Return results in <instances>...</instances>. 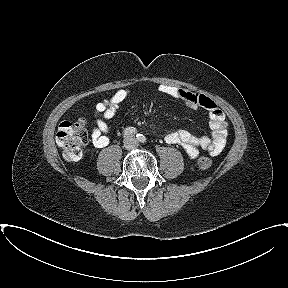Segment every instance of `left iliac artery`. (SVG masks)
Wrapping results in <instances>:
<instances>
[{"label":"left iliac artery","mask_w":288,"mask_h":288,"mask_svg":"<svg viewBox=\"0 0 288 288\" xmlns=\"http://www.w3.org/2000/svg\"><path fill=\"white\" fill-rule=\"evenodd\" d=\"M136 137H137L138 141H140L141 143L146 142V138H145L144 135L139 133V134L136 135Z\"/></svg>","instance_id":"obj_1"}]
</instances>
